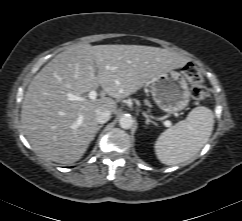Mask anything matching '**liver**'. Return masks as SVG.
Returning a JSON list of instances; mask_svg holds the SVG:
<instances>
[{"label":"liver","instance_id":"1","mask_svg":"<svg viewBox=\"0 0 242 221\" xmlns=\"http://www.w3.org/2000/svg\"><path fill=\"white\" fill-rule=\"evenodd\" d=\"M187 61L158 47L74 44L56 55L29 84L21 110L24 134L44 159L72 164L95 137L97 109L115 112L113 98H126L155 76L181 68ZM99 86L102 96L87 98ZM69 95L84 100L72 101Z\"/></svg>","mask_w":242,"mask_h":221}]
</instances>
